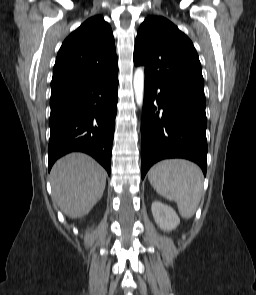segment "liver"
I'll return each mask as SVG.
<instances>
[{
	"mask_svg": "<svg viewBox=\"0 0 256 295\" xmlns=\"http://www.w3.org/2000/svg\"><path fill=\"white\" fill-rule=\"evenodd\" d=\"M50 180L52 199L62 212L82 218L103 196L106 171L90 156L71 153L54 164Z\"/></svg>",
	"mask_w": 256,
	"mask_h": 295,
	"instance_id": "liver-1",
	"label": "liver"
}]
</instances>
